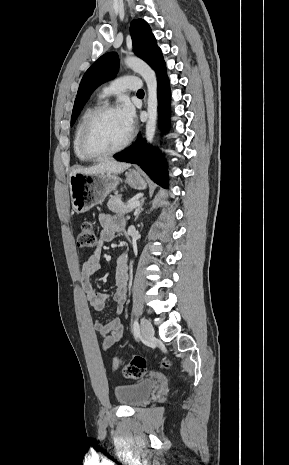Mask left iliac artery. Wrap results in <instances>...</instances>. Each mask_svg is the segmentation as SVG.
Listing matches in <instances>:
<instances>
[{"label":"left iliac artery","mask_w":289,"mask_h":465,"mask_svg":"<svg viewBox=\"0 0 289 465\" xmlns=\"http://www.w3.org/2000/svg\"><path fill=\"white\" fill-rule=\"evenodd\" d=\"M133 333H134L135 339H137L140 335V329H139V324L137 320H135L133 323Z\"/></svg>","instance_id":"left-iliac-artery-1"}]
</instances>
